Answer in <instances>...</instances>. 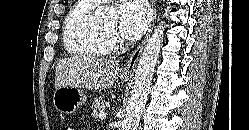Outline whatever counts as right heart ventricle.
Wrapping results in <instances>:
<instances>
[{"mask_svg": "<svg viewBox=\"0 0 249 130\" xmlns=\"http://www.w3.org/2000/svg\"><path fill=\"white\" fill-rule=\"evenodd\" d=\"M97 2L78 0L63 25V44L74 56L102 57L110 50V40L95 21L93 10Z\"/></svg>", "mask_w": 249, "mask_h": 130, "instance_id": "obj_1", "label": "right heart ventricle"}]
</instances>
